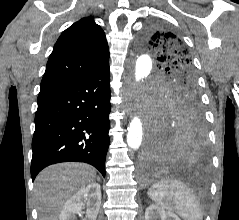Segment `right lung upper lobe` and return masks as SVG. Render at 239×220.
<instances>
[{
  "label": "right lung upper lobe",
  "instance_id": "1",
  "mask_svg": "<svg viewBox=\"0 0 239 220\" xmlns=\"http://www.w3.org/2000/svg\"><path fill=\"white\" fill-rule=\"evenodd\" d=\"M109 63L104 31L91 17L67 28L48 59L40 90L82 79Z\"/></svg>",
  "mask_w": 239,
  "mask_h": 220
}]
</instances>
